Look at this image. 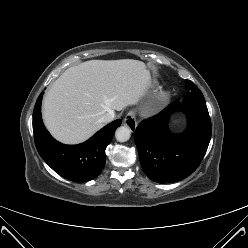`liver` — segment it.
I'll use <instances>...</instances> for the list:
<instances>
[{"mask_svg": "<svg viewBox=\"0 0 248 248\" xmlns=\"http://www.w3.org/2000/svg\"><path fill=\"white\" fill-rule=\"evenodd\" d=\"M150 84V72L138 60H91L68 68L43 100V119L61 142L87 140L104 126L110 111L136 104Z\"/></svg>", "mask_w": 248, "mask_h": 248, "instance_id": "6515ba94", "label": "liver"}]
</instances>
